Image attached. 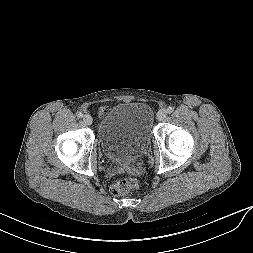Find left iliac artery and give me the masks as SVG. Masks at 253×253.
<instances>
[{"label": "left iliac artery", "mask_w": 253, "mask_h": 253, "mask_svg": "<svg viewBox=\"0 0 253 253\" xmlns=\"http://www.w3.org/2000/svg\"><path fill=\"white\" fill-rule=\"evenodd\" d=\"M173 111H174V108H173V107L169 106V107L167 108V113H168V114H171Z\"/></svg>", "instance_id": "44dca946"}]
</instances>
